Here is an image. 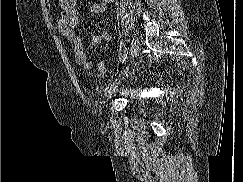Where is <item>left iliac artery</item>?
<instances>
[{"instance_id": "obj_1", "label": "left iliac artery", "mask_w": 243, "mask_h": 182, "mask_svg": "<svg viewBox=\"0 0 243 182\" xmlns=\"http://www.w3.org/2000/svg\"><path fill=\"white\" fill-rule=\"evenodd\" d=\"M127 54H128V49H127V47H125L124 52H123V56H122V58H123L122 64H124L125 59L127 58Z\"/></svg>"}]
</instances>
